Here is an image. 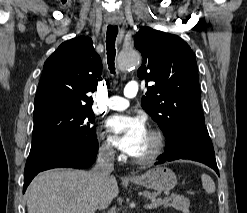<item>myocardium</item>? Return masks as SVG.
Masks as SVG:
<instances>
[{
    "label": "myocardium",
    "instance_id": "f54148a6",
    "mask_svg": "<svg viewBox=\"0 0 247 213\" xmlns=\"http://www.w3.org/2000/svg\"><path fill=\"white\" fill-rule=\"evenodd\" d=\"M148 133L154 139V146L152 151L145 157H134L133 160L141 165H149L156 162L163 154L165 149V137L163 133L158 129H150Z\"/></svg>",
    "mask_w": 247,
    "mask_h": 213
}]
</instances>
